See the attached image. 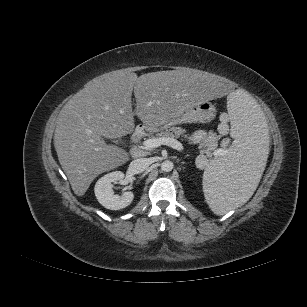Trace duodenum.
<instances>
[{
	"label": "duodenum",
	"mask_w": 307,
	"mask_h": 307,
	"mask_svg": "<svg viewBox=\"0 0 307 307\" xmlns=\"http://www.w3.org/2000/svg\"><path fill=\"white\" fill-rule=\"evenodd\" d=\"M147 133V130L145 127H138L132 134L131 140L133 142H138L141 140Z\"/></svg>",
	"instance_id": "1"
}]
</instances>
